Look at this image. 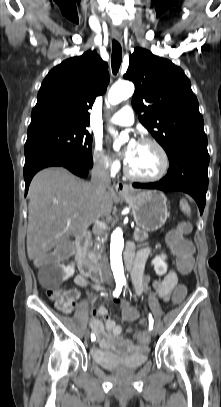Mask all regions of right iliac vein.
I'll use <instances>...</instances> for the list:
<instances>
[{
  "label": "right iliac vein",
  "instance_id": "63e3f726",
  "mask_svg": "<svg viewBox=\"0 0 221 407\" xmlns=\"http://www.w3.org/2000/svg\"><path fill=\"white\" fill-rule=\"evenodd\" d=\"M84 337H85L86 340L89 338L88 331H85V332H84Z\"/></svg>",
  "mask_w": 221,
  "mask_h": 407
}]
</instances>
